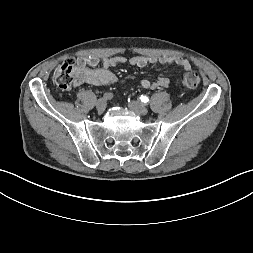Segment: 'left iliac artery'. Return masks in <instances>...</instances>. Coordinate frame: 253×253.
Returning a JSON list of instances; mask_svg holds the SVG:
<instances>
[{"label": "left iliac artery", "mask_w": 253, "mask_h": 253, "mask_svg": "<svg viewBox=\"0 0 253 253\" xmlns=\"http://www.w3.org/2000/svg\"><path fill=\"white\" fill-rule=\"evenodd\" d=\"M140 99H141V101L144 102V103H147V102L149 101L148 97L143 96V95L140 97Z\"/></svg>", "instance_id": "1"}]
</instances>
